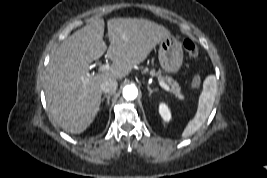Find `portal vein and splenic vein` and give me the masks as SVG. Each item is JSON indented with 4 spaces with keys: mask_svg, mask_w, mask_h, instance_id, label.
Masks as SVG:
<instances>
[{
    "mask_svg": "<svg viewBox=\"0 0 267 178\" xmlns=\"http://www.w3.org/2000/svg\"><path fill=\"white\" fill-rule=\"evenodd\" d=\"M109 69H110V65L109 64H104V65H100L99 66V71H101V72L108 71ZM159 85L163 89H165L167 92L171 91L170 87L166 83H164L163 81H159Z\"/></svg>",
    "mask_w": 267,
    "mask_h": 178,
    "instance_id": "18ae733b",
    "label": "portal vein and splenic vein"
}]
</instances>
